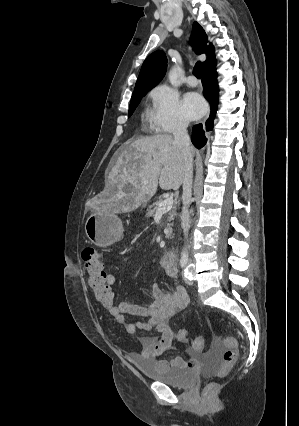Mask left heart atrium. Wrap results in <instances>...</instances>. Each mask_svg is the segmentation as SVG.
Returning <instances> with one entry per match:
<instances>
[{
	"label": "left heart atrium",
	"instance_id": "left-heart-atrium-1",
	"mask_svg": "<svg viewBox=\"0 0 299 426\" xmlns=\"http://www.w3.org/2000/svg\"><path fill=\"white\" fill-rule=\"evenodd\" d=\"M184 108L187 116L190 119L195 120L204 114L206 110V104L199 94L195 92H189L184 96Z\"/></svg>",
	"mask_w": 299,
	"mask_h": 426
}]
</instances>
